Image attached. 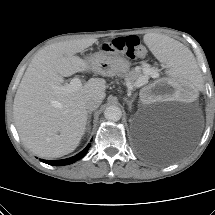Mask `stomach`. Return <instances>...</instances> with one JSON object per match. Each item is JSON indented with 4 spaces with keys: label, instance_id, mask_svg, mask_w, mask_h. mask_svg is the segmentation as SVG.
<instances>
[{
    "label": "stomach",
    "instance_id": "obj_1",
    "mask_svg": "<svg viewBox=\"0 0 215 215\" xmlns=\"http://www.w3.org/2000/svg\"><path fill=\"white\" fill-rule=\"evenodd\" d=\"M91 69L103 76L119 75L126 77L130 73V63L122 56H114L104 51L93 53L86 57Z\"/></svg>",
    "mask_w": 215,
    "mask_h": 215
}]
</instances>
